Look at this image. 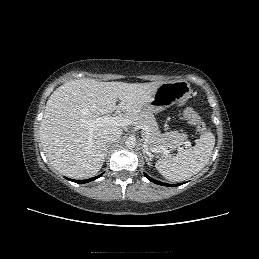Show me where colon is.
<instances>
[{"instance_id":"1","label":"colon","mask_w":259,"mask_h":259,"mask_svg":"<svg viewBox=\"0 0 259 259\" xmlns=\"http://www.w3.org/2000/svg\"><path fill=\"white\" fill-rule=\"evenodd\" d=\"M184 116L196 128L197 131L204 132L206 130L204 122L201 120L197 112L192 108L186 109Z\"/></svg>"}]
</instances>
